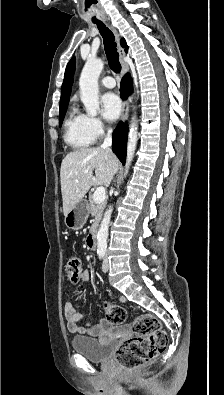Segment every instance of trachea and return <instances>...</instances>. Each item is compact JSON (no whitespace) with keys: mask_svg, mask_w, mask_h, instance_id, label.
Instances as JSON below:
<instances>
[{"mask_svg":"<svg viewBox=\"0 0 224 395\" xmlns=\"http://www.w3.org/2000/svg\"><path fill=\"white\" fill-rule=\"evenodd\" d=\"M97 26L103 38L104 49L108 59L109 66L115 73H120L121 65L119 62V54L116 48L117 45L115 42V36L111 32V30H109L105 26L104 23L97 22Z\"/></svg>","mask_w":224,"mask_h":395,"instance_id":"3493384b","label":"trachea"}]
</instances>
